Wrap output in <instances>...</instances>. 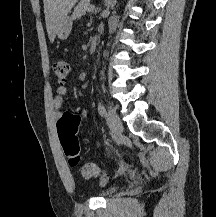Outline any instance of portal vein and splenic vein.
<instances>
[{"mask_svg":"<svg viewBox=\"0 0 216 217\" xmlns=\"http://www.w3.org/2000/svg\"><path fill=\"white\" fill-rule=\"evenodd\" d=\"M95 10V6L94 5H91L89 8H88V11L89 12H93Z\"/></svg>","mask_w":216,"mask_h":217,"instance_id":"18ae733b","label":"portal vein and splenic vein"}]
</instances>
